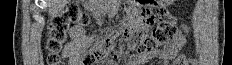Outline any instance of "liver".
<instances>
[{
	"instance_id": "6515ba94",
	"label": "liver",
	"mask_w": 232,
	"mask_h": 65,
	"mask_svg": "<svg viewBox=\"0 0 232 65\" xmlns=\"http://www.w3.org/2000/svg\"><path fill=\"white\" fill-rule=\"evenodd\" d=\"M69 0H46L48 6L49 15L57 16L68 3Z\"/></svg>"
}]
</instances>
